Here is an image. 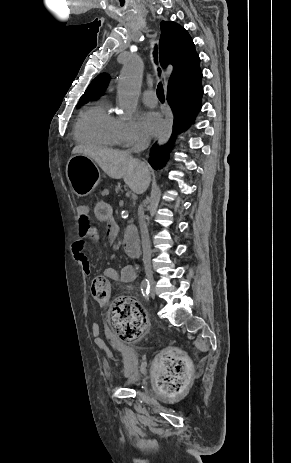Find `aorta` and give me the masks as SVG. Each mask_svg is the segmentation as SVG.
<instances>
[{"label": "aorta", "mask_w": 291, "mask_h": 463, "mask_svg": "<svg viewBox=\"0 0 291 463\" xmlns=\"http://www.w3.org/2000/svg\"><path fill=\"white\" fill-rule=\"evenodd\" d=\"M143 75V62L132 57L123 66L118 83V102L124 119H130L136 111Z\"/></svg>", "instance_id": "aorta-1"}]
</instances>
